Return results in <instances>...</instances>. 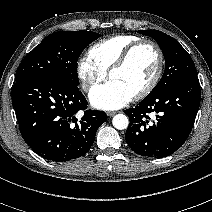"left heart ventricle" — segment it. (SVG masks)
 I'll list each match as a JSON object with an SVG mask.
<instances>
[{"label": "left heart ventricle", "instance_id": "b2bd125f", "mask_svg": "<svg viewBox=\"0 0 212 212\" xmlns=\"http://www.w3.org/2000/svg\"><path fill=\"white\" fill-rule=\"evenodd\" d=\"M156 67L155 51L149 46H142L133 53L128 64L122 70L111 75L110 80L134 96L151 80Z\"/></svg>", "mask_w": 212, "mask_h": 212}]
</instances>
